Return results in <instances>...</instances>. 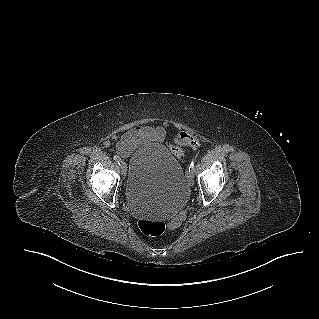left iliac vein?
Wrapping results in <instances>:
<instances>
[{
  "instance_id": "1",
  "label": "left iliac vein",
  "mask_w": 319,
  "mask_h": 319,
  "mask_svg": "<svg viewBox=\"0 0 319 319\" xmlns=\"http://www.w3.org/2000/svg\"><path fill=\"white\" fill-rule=\"evenodd\" d=\"M187 181H188L190 186H193V184H194V176H193L192 172H189V170L187 171Z\"/></svg>"
}]
</instances>
